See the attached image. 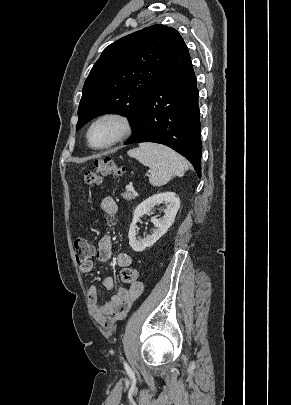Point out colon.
I'll return each mask as SVG.
<instances>
[{
  "instance_id": "1",
  "label": "colon",
  "mask_w": 291,
  "mask_h": 405,
  "mask_svg": "<svg viewBox=\"0 0 291 405\" xmlns=\"http://www.w3.org/2000/svg\"><path fill=\"white\" fill-rule=\"evenodd\" d=\"M125 168L116 165L111 159H103L95 162V168L87 171L84 176L85 183L88 185H97L101 182L102 176L107 174L122 175ZM75 257L78 263L88 261L94 252L93 246L85 238H78L74 242ZM121 280L127 284H133L138 281L139 271L132 268H125L120 274Z\"/></svg>"
}]
</instances>
